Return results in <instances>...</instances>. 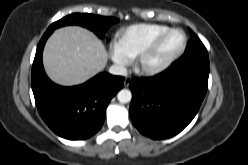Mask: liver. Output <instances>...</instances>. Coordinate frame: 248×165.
Returning a JSON list of instances; mask_svg holds the SVG:
<instances>
[{
    "instance_id": "liver-1",
    "label": "liver",
    "mask_w": 248,
    "mask_h": 165,
    "mask_svg": "<svg viewBox=\"0 0 248 165\" xmlns=\"http://www.w3.org/2000/svg\"><path fill=\"white\" fill-rule=\"evenodd\" d=\"M107 60L108 54L101 40L78 26L55 30L43 52L48 77L63 86L86 82L105 68Z\"/></svg>"
}]
</instances>
